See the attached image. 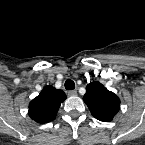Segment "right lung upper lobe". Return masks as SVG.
Wrapping results in <instances>:
<instances>
[{"label":"right lung upper lobe","mask_w":145,"mask_h":145,"mask_svg":"<svg viewBox=\"0 0 145 145\" xmlns=\"http://www.w3.org/2000/svg\"><path fill=\"white\" fill-rule=\"evenodd\" d=\"M66 94L53 86H45L29 104V116L37 123H47L55 119Z\"/></svg>","instance_id":"1"}]
</instances>
